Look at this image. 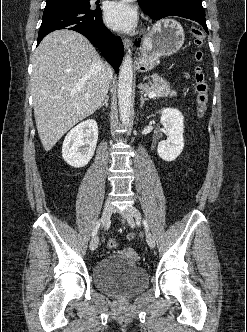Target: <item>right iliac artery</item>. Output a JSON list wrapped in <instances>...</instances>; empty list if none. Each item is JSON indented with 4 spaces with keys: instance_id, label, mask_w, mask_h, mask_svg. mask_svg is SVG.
Masks as SVG:
<instances>
[{
    "instance_id": "obj_1",
    "label": "right iliac artery",
    "mask_w": 247,
    "mask_h": 332,
    "mask_svg": "<svg viewBox=\"0 0 247 332\" xmlns=\"http://www.w3.org/2000/svg\"><path fill=\"white\" fill-rule=\"evenodd\" d=\"M100 224H101V221H100V220H98V221L96 222V224H95V227H94V229H93V232H92V237H94V236L97 234V232H98V229H99V227H100Z\"/></svg>"
}]
</instances>
